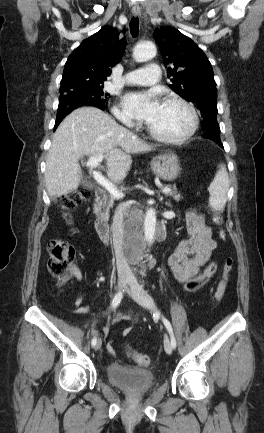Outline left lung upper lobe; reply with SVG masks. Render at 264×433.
I'll return each instance as SVG.
<instances>
[{"label":"left lung upper lobe","mask_w":264,"mask_h":433,"mask_svg":"<svg viewBox=\"0 0 264 433\" xmlns=\"http://www.w3.org/2000/svg\"><path fill=\"white\" fill-rule=\"evenodd\" d=\"M154 37L158 43L168 77L169 87L179 96L197 106L203 118L217 116L216 83L212 66L204 52L187 36L172 27L156 29ZM204 136L213 141L220 140L219 125L205 128Z\"/></svg>","instance_id":"1"}]
</instances>
